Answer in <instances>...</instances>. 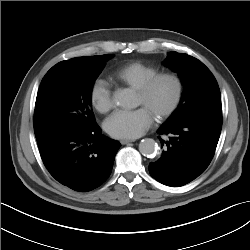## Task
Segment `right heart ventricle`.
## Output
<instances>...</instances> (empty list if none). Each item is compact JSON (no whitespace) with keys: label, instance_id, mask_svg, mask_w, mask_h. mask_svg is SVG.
Returning a JSON list of instances; mask_svg holds the SVG:
<instances>
[{"label":"right heart ventricle","instance_id":"e07e8e85","mask_svg":"<svg viewBox=\"0 0 250 250\" xmlns=\"http://www.w3.org/2000/svg\"><path fill=\"white\" fill-rule=\"evenodd\" d=\"M157 73H159L157 67L140 61H134L116 69L112 77L117 82L129 85L130 87L137 89L147 79Z\"/></svg>","mask_w":250,"mask_h":250}]
</instances>
